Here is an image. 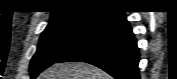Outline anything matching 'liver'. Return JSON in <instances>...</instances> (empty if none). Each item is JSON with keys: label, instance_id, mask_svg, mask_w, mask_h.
I'll use <instances>...</instances> for the list:
<instances>
[{"label": "liver", "instance_id": "1", "mask_svg": "<svg viewBox=\"0 0 177 79\" xmlns=\"http://www.w3.org/2000/svg\"><path fill=\"white\" fill-rule=\"evenodd\" d=\"M39 79H110V76L91 64L66 62L52 65Z\"/></svg>", "mask_w": 177, "mask_h": 79}]
</instances>
